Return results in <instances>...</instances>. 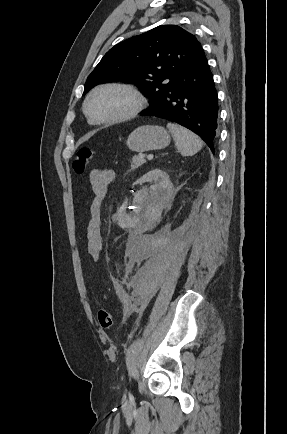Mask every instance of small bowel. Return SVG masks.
Listing matches in <instances>:
<instances>
[{"mask_svg": "<svg viewBox=\"0 0 287 434\" xmlns=\"http://www.w3.org/2000/svg\"><path fill=\"white\" fill-rule=\"evenodd\" d=\"M116 180L114 170L108 168L93 169L89 173V184L94 198L89 207L86 227V246L88 253L95 260L99 259L103 250L101 224L102 205L106 198L107 188Z\"/></svg>", "mask_w": 287, "mask_h": 434, "instance_id": "1", "label": "small bowel"}]
</instances>
